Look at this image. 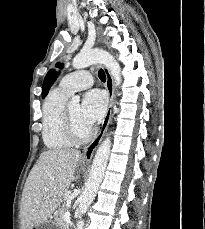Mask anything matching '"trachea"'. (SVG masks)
Here are the masks:
<instances>
[{"instance_id":"3493384b","label":"trachea","mask_w":205,"mask_h":229,"mask_svg":"<svg viewBox=\"0 0 205 229\" xmlns=\"http://www.w3.org/2000/svg\"><path fill=\"white\" fill-rule=\"evenodd\" d=\"M98 77L102 82L106 81V75H105V73H104V71L102 69L99 70Z\"/></svg>"}]
</instances>
